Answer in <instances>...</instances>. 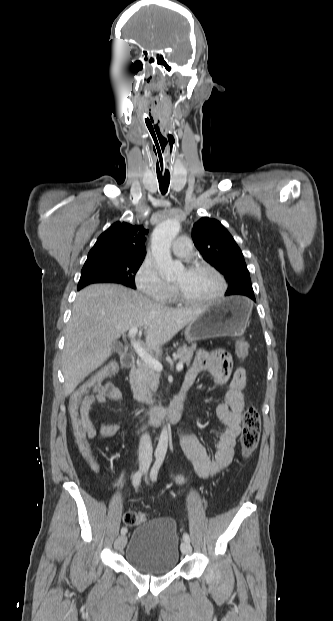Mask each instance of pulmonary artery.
Instances as JSON below:
<instances>
[{"label": "pulmonary artery", "mask_w": 333, "mask_h": 621, "mask_svg": "<svg viewBox=\"0 0 333 621\" xmlns=\"http://www.w3.org/2000/svg\"><path fill=\"white\" fill-rule=\"evenodd\" d=\"M172 252L180 258L188 257L191 254L190 239L184 236L178 237L173 243Z\"/></svg>", "instance_id": "e3ab8cb5"}]
</instances>
